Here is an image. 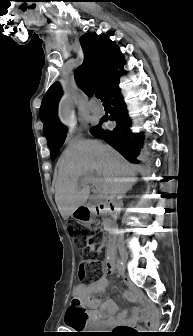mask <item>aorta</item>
Here are the masks:
<instances>
[{"instance_id": "aorta-1", "label": "aorta", "mask_w": 193, "mask_h": 336, "mask_svg": "<svg viewBox=\"0 0 193 336\" xmlns=\"http://www.w3.org/2000/svg\"><path fill=\"white\" fill-rule=\"evenodd\" d=\"M59 118L67 126L74 124V105L71 94L66 93L59 102Z\"/></svg>"}]
</instances>
